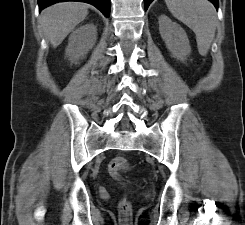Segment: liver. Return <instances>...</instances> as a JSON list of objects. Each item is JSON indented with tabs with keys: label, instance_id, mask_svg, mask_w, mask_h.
I'll use <instances>...</instances> for the list:
<instances>
[{
	"label": "liver",
	"instance_id": "obj_1",
	"mask_svg": "<svg viewBox=\"0 0 245 225\" xmlns=\"http://www.w3.org/2000/svg\"><path fill=\"white\" fill-rule=\"evenodd\" d=\"M87 15L85 3H57L42 11L39 23L45 37L56 48Z\"/></svg>",
	"mask_w": 245,
	"mask_h": 225
}]
</instances>
